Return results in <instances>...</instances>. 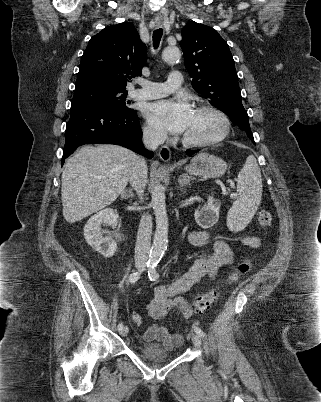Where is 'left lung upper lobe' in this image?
I'll list each match as a JSON object with an SVG mask.
<instances>
[{"label":"left lung upper lobe","mask_w":321,"mask_h":402,"mask_svg":"<svg viewBox=\"0 0 321 402\" xmlns=\"http://www.w3.org/2000/svg\"><path fill=\"white\" fill-rule=\"evenodd\" d=\"M181 33L184 64L195 91L224 111L253 141L228 44L216 30L194 21H189Z\"/></svg>","instance_id":"1"}]
</instances>
